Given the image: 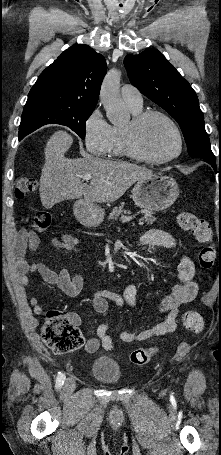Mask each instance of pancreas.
I'll return each instance as SVG.
<instances>
[{
	"mask_svg": "<svg viewBox=\"0 0 221 455\" xmlns=\"http://www.w3.org/2000/svg\"><path fill=\"white\" fill-rule=\"evenodd\" d=\"M144 216L139 220V224H143L147 222L148 224H152L157 219L152 216V213L149 211H144ZM131 219V212L123 209L122 207H115L112 212L108 216V220H120L122 222H127Z\"/></svg>",
	"mask_w": 221,
	"mask_h": 455,
	"instance_id": "cf45deb5",
	"label": "pancreas"
}]
</instances>
